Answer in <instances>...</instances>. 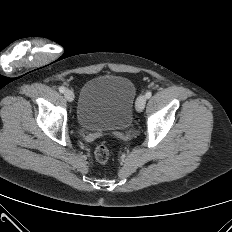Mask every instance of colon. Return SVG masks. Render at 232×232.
Wrapping results in <instances>:
<instances>
[{
    "mask_svg": "<svg viewBox=\"0 0 232 232\" xmlns=\"http://www.w3.org/2000/svg\"><path fill=\"white\" fill-rule=\"evenodd\" d=\"M110 157L109 147L105 144L99 145L95 150V159L100 163H105Z\"/></svg>",
    "mask_w": 232,
    "mask_h": 232,
    "instance_id": "1",
    "label": "colon"
}]
</instances>
